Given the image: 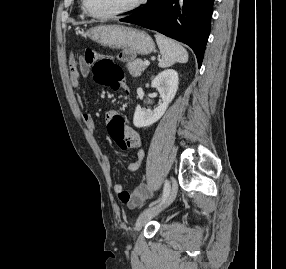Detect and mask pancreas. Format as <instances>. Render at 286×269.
Instances as JSON below:
<instances>
[{
	"mask_svg": "<svg viewBox=\"0 0 286 269\" xmlns=\"http://www.w3.org/2000/svg\"><path fill=\"white\" fill-rule=\"evenodd\" d=\"M146 66L141 59L135 61H130L127 64V69L133 77H139L141 73L145 70Z\"/></svg>",
	"mask_w": 286,
	"mask_h": 269,
	"instance_id": "1",
	"label": "pancreas"
}]
</instances>
